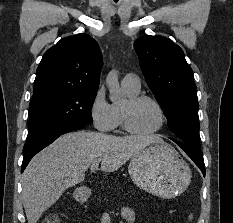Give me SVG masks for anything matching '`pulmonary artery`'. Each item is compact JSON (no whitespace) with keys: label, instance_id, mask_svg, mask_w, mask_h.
I'll list each match as a JSON object with an SVG mask.
<instances>
[{"label":"pulmonary artery","instance_id":"obj_1","mask_svg":"<svg viewBox=\"0 0 233 223\" xmlns=\"http://www.w3.org/2000/svg\"><path fill=\"white\" fill-rule=\"evenodd\" d=\"M123 88L139 89L141 87L140 78L134 73H128L121 81Z\"/></svg>","mask_w":233,"mask_h":223}]
</instances>
